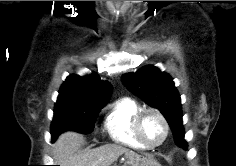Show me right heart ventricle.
<instances>
[{
    "mask_svg": "<svg viewBox=\"0 0 236 166\" xmlns=\"http://www.w3.org/2000/svg\"><path fill=\"white\" fill-rule=\"evenodd\" d=\"M142 106L130 97L114 101L107 109L104 126L110 139L121 146L143 150L146 149L134 132V119Z\"/></svg>",
    "mask_w": 236,
    "mask_h": 166,
    "instance_id": "obj_1",
    "label": "right heart ventricle"
}]
</instances>
